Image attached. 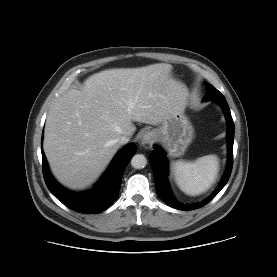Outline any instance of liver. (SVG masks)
I'll list each match as a JSON object with an SVG mask.
<instances>
[{
  "label": "liver",
  "instance_id": "1",
  "mask_svg": "<svg viewBox=\"0 0 277 277\" xmlns=\"http://www.w3.org/2000/svg\"><path fill=\"white\" fill-rule=\"evenodd\" d=\"M172 65L109 69L91 75L82 90L71 89L50 109L43 149L57 180L71 189L93 183L131 137L133 121L158 125L185 108L188 90L171 76Z\"/></svg>",
  "mask_w": 277,
  "mask_h": 277
}]
</instances>
